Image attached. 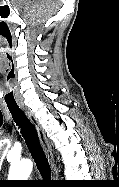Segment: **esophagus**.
<instances>
[{
    "label": "esophagus",
    "mask_w": 119,
    "mask_h": 187,
    "mask_svg": "<svg viewBox=\"0 0 119 187\" xmlns=\"http://www.w3.org/2000/svg\"><path fill=\"white\" fill-rule=\"evenodd\" d=\"M20 108L25 113V115L28 117V119L31 121V123L35 126L41 146H42L43 151H44V153L47 157V160L49 162V165H50V168L52 171V177L57 178L58 171H57L56 165L54 163V156H53L51 144H50L48 138L46 137V134H45L43 128L39 124V122H38L37 118L35 117V115L33 114V112L28 107H26L24 105H20Z\"/></svg>",
    "instance_id": "obj_1"
}]
</instances>
